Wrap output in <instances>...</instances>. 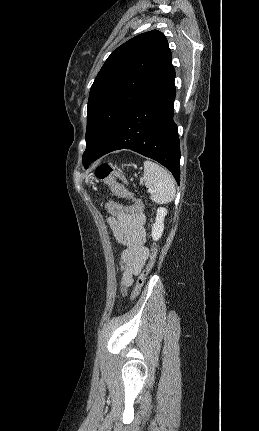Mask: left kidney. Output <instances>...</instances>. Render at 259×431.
<instances>
[{"label": "left kidney", "mask_w": 259, "mask_h": 431, "mask_svg": "<svg viewBox=\"0 0 259 431\" xmlns=\"http://www.w3.org/2000/svg\"><path fill=\"white\" fill-rule=\"evenodd\" d=\"M167 214L166 208L160 207L157 209L155 223L152 226V238L157 241L161 238L164 230V218Z\"/></svg>", "instance_id": "5707ae66"}]
</instances>
